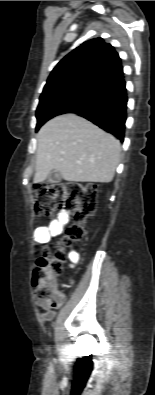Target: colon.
<instances>
[{
  "mask_svg": "<svg viewBox=\"0 0 155 395\" xmlns=\"http://www.w3.org/2000/svg\"><path fill=\"white\" fill-rule=\"evenodd\" d=\"M97 195V188L91 183L58 182L36 186L34 211L37 216L50 215L60 207L71 212L75 218L59 247L46 248L33 269L34 299L39 306L54 308L63 303L64 298L57 290V283L66 258L64 249L83 238L86 221L96 207Z\"/></svg>",
  "mask_w": 155,
  "mask_h": 395,
  "instance_id": "colon-1",
  "label": "colon"
}]
</instances>
